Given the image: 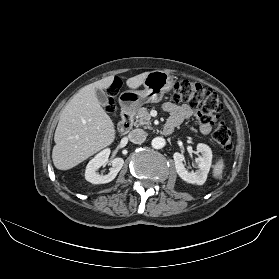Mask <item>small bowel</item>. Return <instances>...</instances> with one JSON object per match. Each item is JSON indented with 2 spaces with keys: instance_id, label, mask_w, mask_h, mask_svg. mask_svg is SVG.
Wrapping results in <instances>:
<instances>
[{
  "instance_id": "small-bowel-1",
  "label": "small bowel",
  "mask_w": 279,
  "mask_h": 279,
  "mask_svg": "<svg viewBox=\"0 0 279 279\" xmlns=\"http://www.w3.org/2000/svg\"><path fill=\"white\" fill-rule=\"evenodd\" d=\"M163 110L169 114L165 126H170L173 129L193 114L192 109L188 105H176L170 102L163 104ZM199 130L202 134H208L211 131V124L209 122H201Z\"/></svg>"
}]
</instances>
